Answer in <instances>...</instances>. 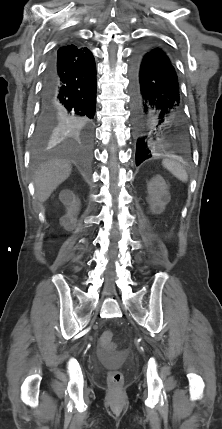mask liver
<instances>
[{"instance_id": "1", "label": "liver", "mask_w": 222, "mask_h": 429, "mask_svg": "<svg viewBox=\"0 0 222 429\" xmlns=\"http://www.w3.org/2000/svg\"><path fill=\"white\" fill-rule=\"evenodd\" d=\"M71 165L67 160L52 159L43 163L34 175L36 197L45 202L52 192L71 174Z\"/></svg>"}]
</instances>
